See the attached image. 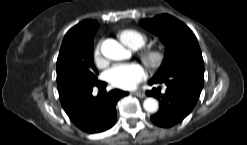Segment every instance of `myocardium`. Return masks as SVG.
<instances>
[{"instance_id":"myocardium-1","label":"myocardium","mask_w":247,"mask_h":145,"mask_svg":"<svg viewBox=\"0 0 247 145\" xmlns=\"http://www.w3.org/2000/svg\"><path fill=\"white\" fill-rule=\"evenodd\" d=\"M143 60L151 67L155 68L162 62V52L159 49L153 48L146 50L142 55Z\"/></svg>"}]
</instances>
